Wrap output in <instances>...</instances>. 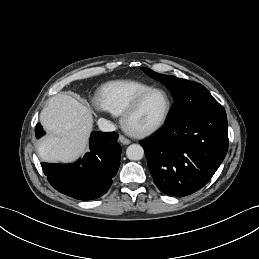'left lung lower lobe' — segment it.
<instances>
[{"instance_id":"obj_1","label":"left lung lower lobe","mask_w":259,"mask_h":259,"mask_svg":"<svg viewBox=\"0 0 259 259\" xmlns=\"http://www.w3.org/2000/svg\"><path fill=\"white\" fill-rule=\"evenodd\" d=\"M154 183L164 193L186 196L214 175L228 150L225 109H207L168 122L154 137L141 141Z\"/></svg>"}]
</instances>
